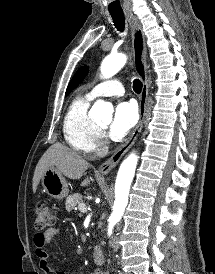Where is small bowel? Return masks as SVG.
I'll list each match as a JSON object with an SVG mask.
<instances>
[{"label": "small bowel", "instance_id": "c3829d8e", "mask_svg": "<svg viewBox=\"0 0 215 274\" xmlns=\"http://www.w3.org/2000/svg\"><path fill=\"white\" fill-rule=\"evenodd\" d=\"M61 236V229L59 227L49 228L45 232L36 233L34 236L35 253L39 260L40 268L45 274L52 272L49 256L46 247L49 245L54 237ZM56 274H65L64 272H57ZM90 274H104L100 270H95Z\"/></svg>", "mask_w": 215, "mask_h": 274}]
</instances>
